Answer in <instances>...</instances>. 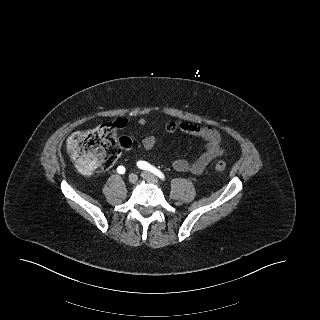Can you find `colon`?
<instances>
[{
    "mask_svg": "<svg viewBox=\"0 0 320 320\" xmlns=\"http://www.w3.org/2000/svg\"><path fill=\"white\" fill-rule=\"evenodd\" d=\"M131 145L130 138L125 136L117 138L115 126L110 123L75 132L67 141L68 151L76 167L85 174L111 168L121 149H128ZM215 169L219 172L224 171L226 163L222 160L217 161Z\"/></svg>",
    "mask_w": 320,
    "mask_h": 320,
    "instance_id": "obj_1",
    "label": "colon"
}]
</instances>
